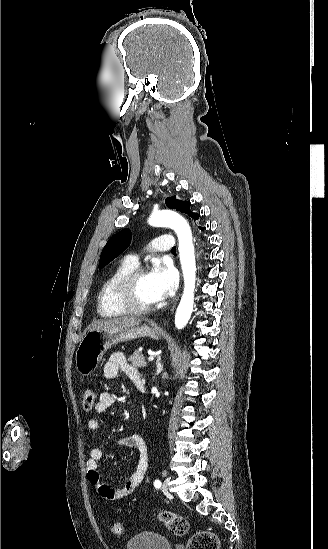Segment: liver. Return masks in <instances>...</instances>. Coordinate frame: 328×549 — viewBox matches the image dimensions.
Returning <instances> with one entry per match:
<instances>
[{"mask_svg":"<svg viewBox=\"0 0 328 549\" xmlns=\"http://www.w3.org/2000/svg\"><path fill=\"white\" fill-rule=\"evenodd\" d=\"M140 319H130V317H116V319H103L93 325L91 331H100V329H115V327H124V329H132L140 325Z\"/></svg>","mask_w":328,"mask_h":549,"instance_id":"obj_1","label":"liver"}]
</instances>
